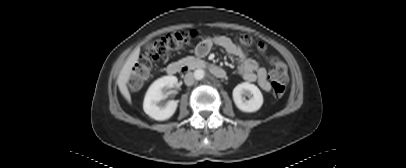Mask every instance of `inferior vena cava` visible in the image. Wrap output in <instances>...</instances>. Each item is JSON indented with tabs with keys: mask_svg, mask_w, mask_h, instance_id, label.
<instances>
[{
	"mask_svg": "<svg viewBox=\"0 0 406 168\" xmlns=\"http://www.w3.org/2000/svg\"><path fill=\"white\" fill-rule=\"evenodd\" d=\"M184 82L187 86L194 84V75L191 72H188L184 77Z\"/></svg>",
	"mask_w": 406,
	"mask_h": 168,
	"instance_id": "inferior-vena-cava-1",
	"label": "inferior vena cava"
}]
</instances>
